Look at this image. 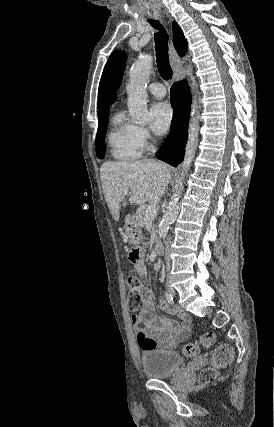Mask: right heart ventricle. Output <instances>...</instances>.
<instances>
[{
    "instance_id": "1",
    "label": "right heart ventricle",
    "mask_w": 274,
    "mask_h": 427,
    "mask_svg": "<svg viewBox=\"0 0 274 427\" xmlns=\"http://www.w3.org/2000/svg\"><path fill=\"white\" fill-rule=\"evenodd\" d=\"M107 145L111 157L119 161H136L142 155L138 127L127 120L123 112H118L114 117V125L108 135Z\"/></svg>"
}]
</instances>
